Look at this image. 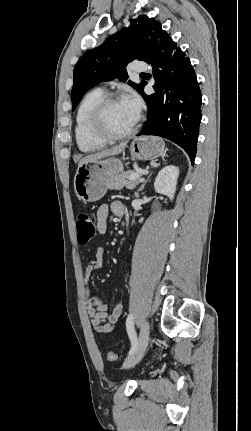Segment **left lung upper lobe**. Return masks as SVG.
I'll list each match as a JSON object with an SVG mask.
<instances>
[{
  "label": "left lung upper lobe",
  "instance_id": "1",
  "mask_svg": "<svg viewBox=\"0 0 251 431\" xmlns=\"http://www.w3.org/2000/svg\"><path fill=\"white\" fill-rule=\"evenodd\" d=\"M167 37L169 35L162 30L159 22L141 15L131 20L129 27L122 28L99 47L86 52L74 68L72 110L76 109L83 95L93 86L115 78L125 82L128 79L127 64L134 59L148 62L154 45ZM144 83L128 81L139 93Z\"/></svg>",
  "mask_w": 251,
  "mask_h": 431
}]
</instances>
